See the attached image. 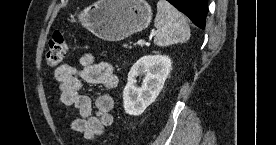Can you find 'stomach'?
Listing matches in <instances>:
<instances>
[{
  "label": "stomach",
  "mask_w": 276,
  "mask_h": 145,
  "mask_svg": "<svg viewBox=\"0 0 276 145\" xmlns=\"http://www.w3.org/2000/svg\"><path fill=\"white\" fill-rule=\"evenodd\" d=\"M77 16L95 36L115 42L148 27L152 10L146 0H98Z\"/></svg>",
  "instance_id": "obj_1"
}]
</instances>
